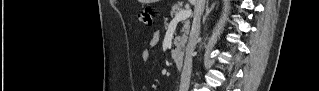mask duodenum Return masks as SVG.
Returning <instances> with one entry per match:
<instances>
[{"mask_svg": "<svg viewBox=\"0 0 319 91\" xmlns=\"http://www.w3.org/2000/svg\"><path fill=\"white\" fill-rule=\"evenodd\" d=\"M172 58L179 69L183 67L184 63V55L180 51H176L173 53Z\"/></svg>", "mask_w": 319, "mask_h": 91, "instance_id": "obj_1", "label": "duodenum"}]
</instances>
